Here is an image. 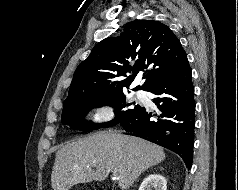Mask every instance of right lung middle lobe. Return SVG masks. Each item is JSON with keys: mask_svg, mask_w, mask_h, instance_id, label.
<instances>
[{"mask_svg": "<svg viewBox=\"0 0 238 190\" xmlns=\"http://www.w3.org/2000/svg\"><path fill=\"white\" fill-rule=\"evenodd\" d=\"M135 103H127L123 93L113 95H92L82 94L68 100L67 105L63 108L61 121L64 125L80 131H92L104 127H111L124 118L131 115L141 107ZM111 106L115 108L116 118L108 124H93L84 120L85 115L91 108Z\"/></svg>", "mask_w": 238, "mask_h": 190, "instance_id": "right-lung-middle-lobe-1", "label": "right lung middle lobe"}]
</instances>
